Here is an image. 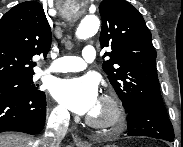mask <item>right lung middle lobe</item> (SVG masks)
I'll return each mask as SVG.
<instances>
[{"label": "right lung middle lobe", "instance_id": "obj_1", "mask_svg": "<svg viewBox=\"0 0 183 147\" xmlns=\"http://www.w3.org/2000/svg\"><path fill=\"white\" fill-rule=\"evenodd\" d=\"M32 75L0 80V94L8 92H37L38 85H34Z\"/></svg>", "mask_w": 183, "mask_h": 147}]
</instances>
